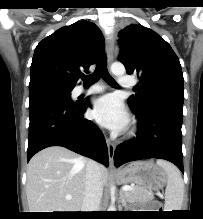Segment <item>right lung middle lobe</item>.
I'll use <instances>...</instances> for the list:
<instances>
[{
    "instance_id": "dd1d6c3e",
    "label": "right lung middle lobe",
    "mask_w": 203,
    "mask_h": 219,
    "mask_svg": "<svg viewBox=\"0 0 203 219\" xmlns=\"http://www.w3.org/2000/svg\"><path fill=\"white\" fill-rule=\"evenodd\" d=\"M72 89L73 86L65 85L60 82L47 79L37 80L29 83L30 97L40 93H52L64 97L70 103H73L71 100Z\"/></svg>"
}]
</instances>
